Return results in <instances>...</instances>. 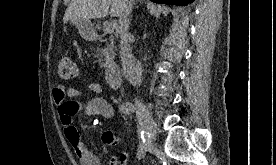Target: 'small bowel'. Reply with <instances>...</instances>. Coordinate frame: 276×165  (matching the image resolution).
I'll return each mask as SVG.
<instances>
[{"instance_id":"1","label":"small bowel","mask_w":276,"mask_h":165,"mask_svg":"<svg viewBox=\"0 0 276 165\" xmlns=\"http://www.w3.org/2000/svg\"><path fill=\"white\" fill-rule=\"evenodd\" d=\"M86 94L91 97L85 102L79 101ZM52 97L57 112L59 122L63 127V133L69 144L75 151L81 165H100L99 158L91 151L87 144L81 138L73 118L79 111H84L90 116H94L93 124H99L100 120L110 119L113 116V108L102 94V87L99 83L90 82L86 90L77 87H65L57 85L53 88ZM128 156L126 153H120L110 157L109 165H127Z\"/></svg>"}]
</instances>
